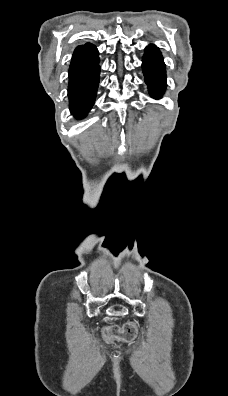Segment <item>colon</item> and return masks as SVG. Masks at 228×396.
<instances>
[{"mask_svg": "<svg viewBox=\"0 0 228 396\" xmlns=\"http://www.w3.org/2000/svg\"><path fill=\"white\" fill-rule=\"evenodd\" d=\"M138 334V326L135 322H128L122 326L111 325L104 329V335L108 340L134 341Z\"/></svg>", "mask_w": 228, "mask_h": 396, "instance_id": "5ec220e1", "label": "colon"}]
</instances>
